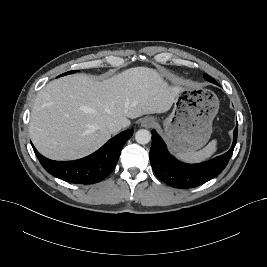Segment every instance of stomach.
<instances>
[{
    "instance_id": "obj_1",
    "label": "stomach",
    "mask_w": 267,
    "mask_h": 267,
    "mask_svg": "<svg viewBox=\"0 0 267 267\" xmlns=\"http://www.w3.org/2000/svg\"><path fill=\"white\" fill-rule=\"evenodd\" d=\"M219 110L216 94L202 87H181L171 114L164 121V136L174 152H193L210 139Z\"/></svg>"
}]
</instances>
